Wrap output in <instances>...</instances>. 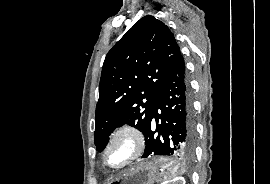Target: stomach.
<instances>
[{
    "mask_svg": "<svg viewBox=\"0 0 270 184\" xmlns=\"http://www.w3.org/2000/svg\"><path fill=\"white\" fill-rule=\"evenodd\" d=\"M167 164L165 170L177 167L172 161H167ZM160 179L162 175L159 173V166L151 161H143L113 179L109 184H154Z\"/></svg>",
    "mask_w": 270,
    "mask_h": 184,
    "instance_id": "0dacf381",
    "label": "stomach"
}]
</instances>
